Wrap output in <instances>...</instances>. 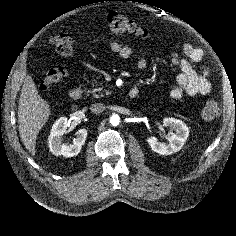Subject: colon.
I'll return each instance as SVG.
<instances>
[{
	"label": "colon",
	"instance_id": "1",
	"mask_svg": "<svg viewBox=\"0 0 236 236\" xmlns=\"http://www.w3.org/2000/svg\"><path fill=\"white\" fill-rule=\"evenodd\" d=\"M106 22L109 29L115 34H127L142 39L149 37V32L145 28L139 26L132 19L124 14L113 11L106 16ZM49 43L55 47L56 52L64 57H69L74 52V40L66 33L52 36ZM67 71L63 67H56L44 72L42 81L39 83L41 91H48L63 77ZM220 109L218 103L214 100H209L204 104L201 115L205 120H213L219 115Z\"/></svg>",
	"mask_w": 236,
	"mask_h": 236
}]
</instances>
